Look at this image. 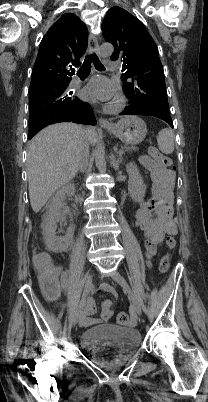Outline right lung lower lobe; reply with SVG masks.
<instances>
[{
    "mask_svg": "<svg viewBox=\"0 0 208 402\" xmlns=\"http://www.w3.org/2000/svg\"><path fill=\"white\" fill-rule=\"evenodd\" d=\"M59 122L96 125L91 106L81 101L73 110L44 114L29 120V139L35 136L44 127Z\"/></svg>",
    "mask_w": 208,
    "mask_h": 402,
    "instance_id": "obj_1",
    "label": "right lung lower lobe"
}]
</instances>
